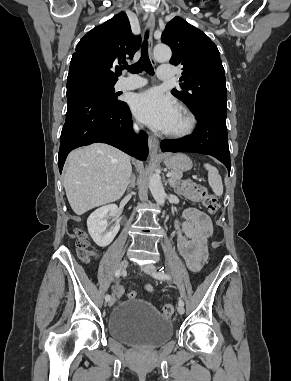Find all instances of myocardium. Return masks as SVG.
<instances>
[{"mask_svg": "<svg viewBox=\"0 0 291 381\" xmlns=\"http://www.w3.org/2000/svg\"><path fill=\"white\" fill-rule=\"evenodd\" d=\"M180 114L184 118V124L175 130H168L166 135L171 138H184L193 133L197 126V118L194 113L188 108L181 106L179 108Z\"/></svg>", "mask_w": 291, "mask_h": 381, "instance_id": "1", "label": "myocardium"}]
</instances>
